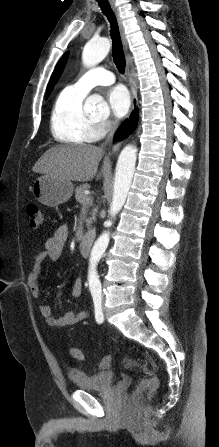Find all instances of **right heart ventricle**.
I'll use <instances>...</instances> for the list:
<instances>
[{
  "label": "right heart ventricle",
  "mask_w": 219,
  "mask_h": 447,
  "mask_svg": "<svg viewBox=\"0 0 219 447\" xmlns=\"http://www.w3.org/2000/svg\"><path fill=\"white\" fill-rule=\"evenodd\" d=\"M84 97L69 86L58 94L50 118L55 140L66 144H85L101 136L97 124L83 110Z\"/></svg>",
  "instance_id": "1"
}]
</instances>
